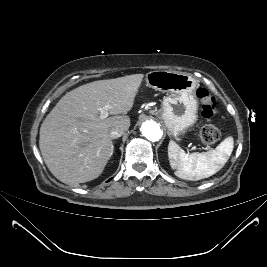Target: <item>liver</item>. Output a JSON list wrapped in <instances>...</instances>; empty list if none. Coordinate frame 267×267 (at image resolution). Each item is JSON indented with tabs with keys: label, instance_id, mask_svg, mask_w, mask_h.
<instances>
[{
	"label": "liver",
	"instance_id": "liver-1",
	"mask_svg": "<svg viewBox=\"0 0 267 267\" xmlns=\"http://www.w3.org/2000/svg\"><path fill=\"white\" fill-rule=\"evenodd\" d=\"M143 74L84 84L66 93L40 127L39 147L50 172L65 184L98 178L113 154L110 130L130 126ZM108 107L111 117L101 119Z\"/></svg>",
	"mask_w": 267,
	"mask_h": 267
}]
</instances>
